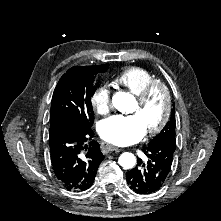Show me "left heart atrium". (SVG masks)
Wrapping results in <instances>:
<instances>
[{"label":"left heart atrium","mask_w":221,"mask_h":221,"mask_svg":"<svg viewBox=\"0 0 221 221\" xmlns=\"http://www.w3.org/2000/svg\"><path fill=\"white\" fill-rule=\"evenodd\" d=\"M101 138L116 146H126L140 141L146 129L135 115H114L99 124Z\"/></svg>","instance_id":"1"}]
</instances>
